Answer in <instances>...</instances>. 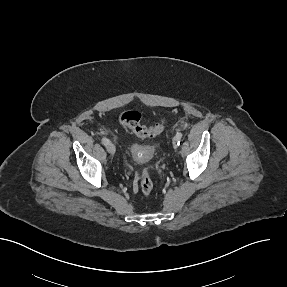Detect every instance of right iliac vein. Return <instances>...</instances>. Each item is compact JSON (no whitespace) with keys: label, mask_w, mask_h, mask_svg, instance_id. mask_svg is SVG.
<instances>
[{"label":"right iliac vein","mask_w":287,"mask_h":287,"mask_svg":"<svg viewBox=\"0 0 287 287\" xmlns=\"http://www.w3.org/2000/svg\"><path fill=\"white\" fill-rule=\"evenodd\" d=\"M106 149L107 151L110 153V154H114L116 152V148L114 146L113 143L109 142L107 145H106Z\"/></svg>","instance_id":"right-iliac-vein-1"}]
</instances>
